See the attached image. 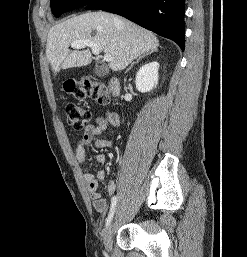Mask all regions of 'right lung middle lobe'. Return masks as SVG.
Instances as JSON below:
<instances>
[{"instance_id":"obj_1","label":"right lung middle lobe","mask_w":247,"mask_h":257,"mask_svg":"<svg viewBox=\"0 0 247 257\" xmlns=\"http://www.w3.org/2000/svg\"><path fill=\"white\" fill-rule=\"evenodd\" d=\"M94 0H50L53 14L59 17L70 10L86 6Z\"/></svg>"}]
</instances>
